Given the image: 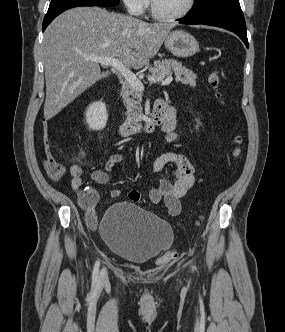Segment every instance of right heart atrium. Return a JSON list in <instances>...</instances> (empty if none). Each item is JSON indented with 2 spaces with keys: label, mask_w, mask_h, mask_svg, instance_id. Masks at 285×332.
<instances>
[{
  "label": "right heart atrium",
  "mask_w": 285,
  "mask_h": 332,
  "mask_svg": "<svg viewBox=\"0 0 285 332\" xmlns=\"http://www.w3.org/2000/svg\"><path fill=\"white\" fill-rule=\"evenodd\" d=\"M122 2L127 11L134 16L143 14L149 4V0H122Z\"/></svg>",
  "instance_id": "d8ad5b80"
}]
</instances>
